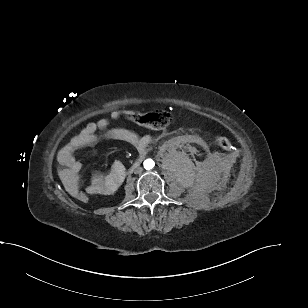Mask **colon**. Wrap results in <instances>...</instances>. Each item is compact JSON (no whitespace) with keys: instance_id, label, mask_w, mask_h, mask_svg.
Instances as JSON below:
<instances>
[{"instance_id":"5ec220e1","label":"colon","mask_w":308,"mask_h":308,"mask_svg":"<svg viewBox=\"0 0 308 308\" xmlns=\"http://www.w3.org/2000/svg\"><path fill=\"white\" fill-rule=\"evenodd\" d=\"M126 116L132 122L156 131L164 130L172 123V115L166 110L147 113L130 112L127 113ZM216 143L222 149L229 150L231 148V142L227 137L218 136L216 138ZM73 196L77 201L83 204L89 201V194L84 190L77 191Z\"/></svg>"}]
</instances>
